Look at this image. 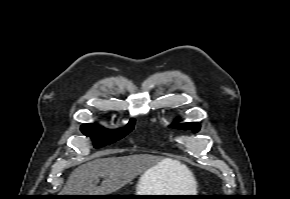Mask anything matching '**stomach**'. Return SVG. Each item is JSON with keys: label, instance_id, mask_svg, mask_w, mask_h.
Here are the masks:
<instances>
[{"label": "stomach", "instance_id": "stomach-1", "mask_svg": "<svg viewBox=\"0 0 290 199\" xmlns=\"http://www.w3.org/2000/svg\"><path fill=\"white\" fill-rule=\"evenodd\" d=\"M159 167L153 166L144 172L139 178L135 195H175L169 190V183L166 178H160ZM138 198H145L139 196ZM152 199H183L179 197H150Z\"/></svg>", "mask_w": 290, "mask_h": 199}]
</instances>
